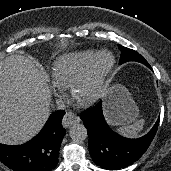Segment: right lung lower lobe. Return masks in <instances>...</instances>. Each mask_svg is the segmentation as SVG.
<instances>
[{"label": "right lung lower lobe", "mask_w": 171, "mask_h": 171, "mask_svg": "<svg viewBox=\"0 0 171 171\" xmlns=\"http://www.w3.org/2000/svg\"><path fill=\"white\" fill-rule=\"evenodd\" d=\"M65 112L50 115L43 129L23 145L0 144V161L14 171H52L66 130L61 125Z\"/></svg>", "instance_id": "obj_1"}]
</instances>
